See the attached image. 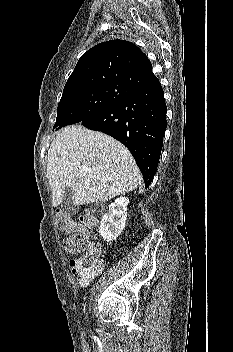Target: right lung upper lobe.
Listing matches in <instances>:
<instances>
[{"instance_id": "cb5924a9", "label": "right lung upper lobe", "mask_w": 233, "mask_h": 352, "mask_svg": "<svg viewBox=\"0 0 233 352\" xmlns=\"http://www.w3.org/2000/svg\"><path fill=\"white\" fill-rule=\"evenodd\" d=\"M158 81L150 60L135 44L110 40L97 44L80 57L63 94L108 84L126 86L136 92Z\"/></svg>"}]
</instances>
